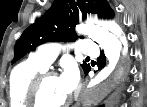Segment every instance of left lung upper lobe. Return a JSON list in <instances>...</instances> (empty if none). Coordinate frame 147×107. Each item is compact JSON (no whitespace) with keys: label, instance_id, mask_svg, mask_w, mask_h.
I'll use <instances>...</instances> for the list:
<instances>
[{"label":"left lung upper lobe","instance_id":"5c2ea615","mask_svg":"<svg viewBox=\"0 0 147 107\" xmlns=\"http://www.w3.org/2000/svg\"><path fill=\"white\" fill-rule=\"evenodd\" d=\"M87 13L97 14L99 18L107 20L115 15L107 0H55L44 16L36 19L16 41L12 63L43 43L75 41L78 38L75 25ZM81 67L85 72L90 65L84 62Z\"/></svg>","mask_w":147,"mask_h":107}]
</instances>
